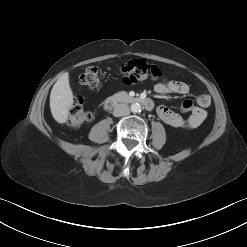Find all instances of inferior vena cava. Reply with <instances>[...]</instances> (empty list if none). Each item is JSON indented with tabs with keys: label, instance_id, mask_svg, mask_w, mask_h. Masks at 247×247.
Wrapping results in <instances>:
<instances>
[{
	"label": "inferior vena cava",
	"instance_id": "inferior-vena-cava-1",
	"mask_svg": "<svg viewBox=\"0 0 247 247\" xmlns=\"http://www.w3.org/2000/svg\"><path fill=\"white\" fill-rule=\"evenodd\" d=\"M130 114V109L129 106L126 104H118L115 106L114 110H113V115L115 117H123V116H127Z\"/></svg>",
	"mask_w": 247,
	"mask_h": 247
}]
</instances>
